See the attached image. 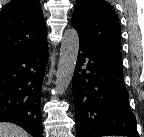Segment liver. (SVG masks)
I'll list each match as a JSON object with an SVG mask.
<instances>
[{
    "instance_id": "liver-1",
    "label": "liver",
    "mask_w": 144,
    "mask_h": 137,
    "mask_svg": "<svg viewBox=\"0 0 144 137\" xmlns=\"http://www.w3.org/2000/svg\"><path fill=\"white\" fill-rule=\"evenodd\" d=\"M0 137H29V134L15 124L0 122Z\"/></svg>"
}]
</instances>
